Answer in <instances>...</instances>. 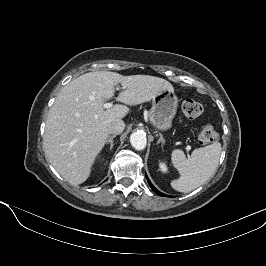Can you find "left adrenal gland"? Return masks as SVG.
Listing matches in <instances>:
<instances>
[{
  "label": "left adrenal gland",
  "instance_id": "1",
  "mask_svg": "<svg viewBox=\"0 0 266 266\" xmlns=\"http://www.w3.org/2000/svg\"><path fill=\"white\" fill-rule=\"evenodd\" d=\"M159 136H160V138H159V140L157 141V143L159 144V143H162V145L165 143V140H164V138H163V136H162V134L161 133H159Z\"/></svg>",
  "mask_w": 266,
  "mask_h": 266
}]
</instances>
